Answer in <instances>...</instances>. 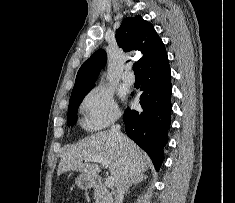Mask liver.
Here are the masks:
<instances>
[{
	"label": "liver",
	"mask_w": 235,
	"mask_h": 203,
	"mask_svg": "<svg viewBox=\"0 0 235 203\" xmlns=\"http://www.w3.org/2000/svg\"><path fill=\"white\" fill-rule=\"evenodd\" d=\"M93 157H102L108 161L116 187L125 170L128 178H131L143 174L150 163L147 154L131 139L125 137L123 143L111 131H103L66 148L62 153L57 174L73 170L97 177L101 167L87 161Z\"/></svg>",
	"instance_id": "6515ba94"
}]
</instances>
